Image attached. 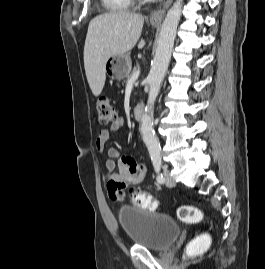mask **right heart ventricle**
<instances>
[{
    "label": "right heart ventricle",
    "mask_w": 265,
    "mask_h": 269,
    "mask_svg": "<svg viewBox=\"0 0 265 269\" xmlns=\"http://www.w3.org/2000/svg\"><path fill=\"white\" fill-rule=\"evenodd\" d=\"M111 12L126 11L132 8L134 0H101Z\"/></svg>",
    "instance_id": "e07e8e85"
}]
</instances>
